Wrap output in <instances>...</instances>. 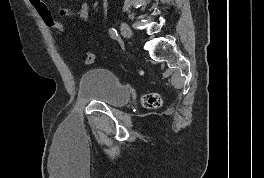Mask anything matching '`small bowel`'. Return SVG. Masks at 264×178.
<instances>
[{
  "label": "small bowel",
  "instance_id": "1",
  "mask_svg": "<svg viewBox=\"0 0 264 178\" xmlns=\"http://www.w3.org/2000/svg\"><path fill=\"white\" fill-rule=\"evenodd\" d=\"M59 14L63 17L77 16L80 20L86 21L89 17V4L82 2L78 9L63 8L59 10Z\"/></svg>",
  "mask_w": 264,
  "mask_h": 178
}]
</instances>
